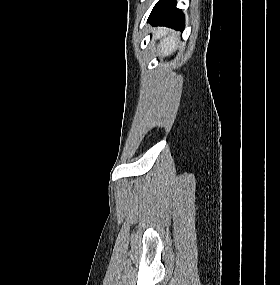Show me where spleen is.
Listing matches in <instances>:
<instances>
[{
  "label": "spleen",
  "instance_id": "1",
  "mask_svg": "<svg viewBox=\"0 0 280 285\" xmlns=\"http://www.w3.org/2000/svg\"><path fill=\"white\" fill-rule=\"evenodd\" d=\"M160 32L165 36V38L163 39L161 45L159 46L160 47L159 54H161L162 56L169 55L177 48L178 45L177 35H175L174 33L172 35L167 36L168 33L165 29L160 30Z\"/></svg>",
  "mask_w": 280,
  "mask_h": 285
}]
</instances>
